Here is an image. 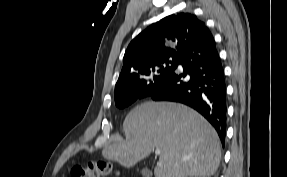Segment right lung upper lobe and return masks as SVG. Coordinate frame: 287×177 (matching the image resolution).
Instances as JSON below:
<instances>
[{
  "mask_svg": "<svg viewBox=\"0 0 287 177\" xmlns=\"http://www.w3.org/2000/svg\"><path fill=\"white\" fill-rule=\"evenodd\" d=\"M195 15L179 13L153 23L129 44L115 87L132 86L146 70L167 59H179L186 46L207 30Z\"/></svg>",
  "mask_w": 287,
  "mask_h": 177,
  "instance_id": "right-lung-upper-lobe-1",
  "label": "right lung upper lobe"
}]
</instances>
